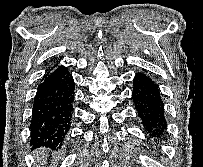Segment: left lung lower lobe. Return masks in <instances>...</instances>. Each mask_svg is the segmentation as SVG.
<instances>
[{"mask_svg": "<svg viewBox=\"0 0 203 167\" xmlns=\"http://www.w3.org/2000/svg\"><path fill=\"white\" fill-rule=\"evenodd\" d=\"M132 98L145 133L156 141L162 138L167 124L158 85L145 73L138 72L133 79Z\"/></svg>", "mask_w": 203, "mask_h": 167, "instance_id": "obj_1", "label": "left lung lower lobe"}]
</instances>
